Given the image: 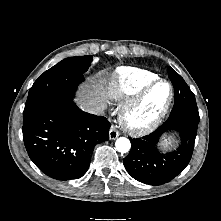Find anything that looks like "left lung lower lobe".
Wrapping results in <instances>:
<instances>
[{"mask_svg": "<svg viewBox=\"0 0 221 221\" xmlns=\"http://www.w3.org/2000/svg\"><path fill=\"white\" fill-rule=\"evenodd\" d=\"M175 101L167 121L142 138H129L132 144L124 158L127 172L136 180L150 185H161L175 178L189 163L199 121L189 117L195 110V96L184 84H173ZM179 132L180 145L163 154L158 149L161 136L169 131Z\"/></svg>", "mask_w": 221, "mask_h": 221, "instance_id": "obj_1", "label": "left lung lower lobe"}]
</instances>
